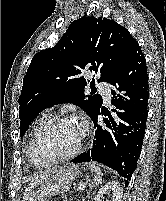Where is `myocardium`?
Wrapping results in <instances>:
<instances>
[{
    "mask_svg": "<svg viewBox=\"0 0 166 201\" xmlns=\"http://www.w3.org/2000/svg\"><path fill=\"white\" fill-rule=\"evenodd\" d=\"M70 120L69 116L66 115H62V114H58V115H53V116H49L47 118H45L44 120H42L34 129L32 136L30 138V145H29V157H30V161L31 163L36 166V167H45V166H49L52 164H56L59 162H63L69 159H72L74 157H76L78 154L81 153V151L84 148V144L86 141V130H83V135H82V139L79 143V145L70 153H67L65 155H61V156H57L54 158L49 159L48 161H46L45 163H40L38 162L36 155H35V144L37 141V138L40 134V132L48 125L55 123V122H60V121H67Z\"/></svg>",
    "mask_w": 166,
    "mask_h": 201,
    "instance_id": "obj_1",
    "label": "myocardium"
}]
</instances>
